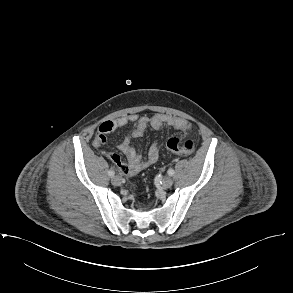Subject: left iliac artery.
<instances>
[{"instance_id": "44dca946", "label": "left iliac artery", "mask_w": 293, "mask_h": 293, "mask_svg": "<svg viewBox=\"0 0 293 293\" xmlns=\"http://www.w3.org/2000/svg\"><path fill=\"white\" fill-rule=\"evenodd\" d=\"M167 173H168V175L172 176V175H174V170L173 169H169Z\"/></svg>"}]
</instances>
